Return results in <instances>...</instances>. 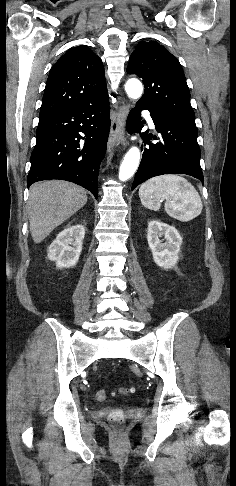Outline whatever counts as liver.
<instances>
[{
    "mask_svg": "<svg viewBox=\"0 0 236 486\" xmlns=\"http://www.w3.org/2000/svg\"><path fill=\"white\" fill-rule=\"evenodd\" d=\"M86 203L87 192L73 183L51 180L33 184L27 211L34 243L42 242Z\"/></svg>",
    "mask_w": 236,
    "mask_h": 486,
    "instance_id": "obj_1",
    "label": "liver"
}]
</instances>
